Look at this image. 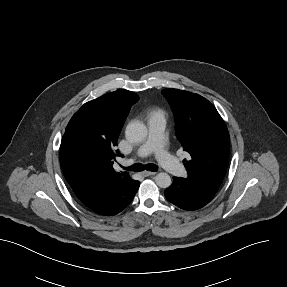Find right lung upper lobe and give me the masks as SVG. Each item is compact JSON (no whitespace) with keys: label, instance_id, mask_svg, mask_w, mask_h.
Segmentation results:
<instances>
[{"label":"right lung upper lobe","instance_id":"1","mask_svg":"<svg viewBox=\"0 0 287 287\" xmlns=\"http://www.w3.org/2000/svg\"><path fill=\"white\" fill-rule=\"evenodd\" d=\"M136 93L117 90L85 103L71 118L67 128L87 147L89 156L79 165L61 164L64 176L74 191L110 181L129 178L128 172H115L113 162L122 156L117 139Z\"/></svg>","mask_w":287,"mask_h":287}]
</instances>
